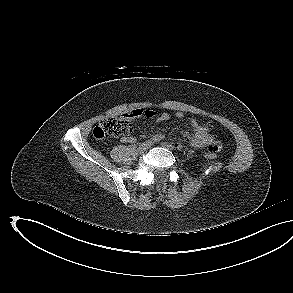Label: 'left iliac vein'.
Instances as JSON below:
<instances>
[{"label": "left iliac vein", "mask_w": 293, "mask_h": 293, "mask_svg": "<svg viewBox=\"0 0 293 293\" xmlns=\"http://www.w3.org/2000/svg\"><path fill=\"white\" fill-rule=\"evenodd\" d=\"M161 145H162V147H164V148H166L168 150H171V151H173L175 149V147L173 145H171V144H169L167 142H163V143H161Z\"/></svg>", "instance_id": "1"}]
</instances>
